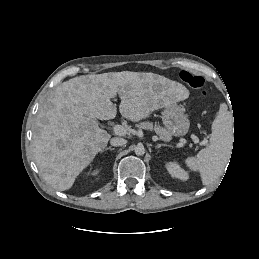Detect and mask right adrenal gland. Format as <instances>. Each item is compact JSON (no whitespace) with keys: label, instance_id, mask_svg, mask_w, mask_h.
Here are the masks:
<instances>
[{"label":"right adrenal gland","instance_id":"1","mask_svg":"<svg viewBox=\"0 0 259 259\" xmlns=\"http://www.w3.org/2000/svg\"><path fill=\"white\" fill-rule=\"evenodd\" d=\"M104 150H110V151H113V150H114V148H113V147H106V148H104Z\"/></svg>","mask_w":259,"mask_h":259}]
</instances>
